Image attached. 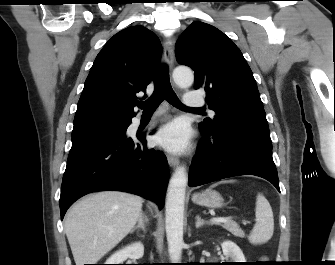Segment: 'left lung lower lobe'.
<instances>
[{
  "label": "left lung lower lobe",
  "mask_w": 335,
  "mask_h": 265,
  "mask_svg": "<svg viewBox=\"0 0 335 265\" xmlns=\"http://www.w3.org/2000/svg\"><path fill=\"white\" fill-rule=\"evenodd\" d=\"M201 134L198 154L189 169L190 187L250 174L268 180L280 192L271 140L234 131Z\"/></svg>",
  "instance_id": "0a47b994"
}]
</instances>
